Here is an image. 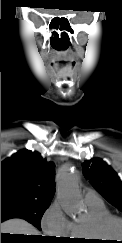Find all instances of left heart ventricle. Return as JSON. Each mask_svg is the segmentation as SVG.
I'll return each instance as SVG.
<instances>
[{
    "label": "left heart ventricle",
    "mask_w": 122,
    "mask_h": 243,
    "mask_svg": "<svg viewBox=\"0 0 122 243\" xmlns=\"http://www.w3.org/2000/svg\"><path fill=\"white\" fill-rule=\"evenodd\" d=\"M107 237H122V225L115 222L108 226L105 231Z\"/></svg>",
    "instance_id": "b2bd125f"
}]
</instances>
